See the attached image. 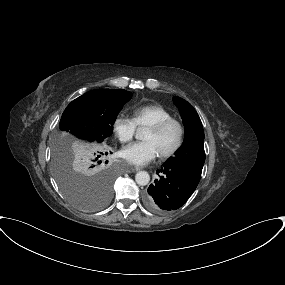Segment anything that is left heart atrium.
Wrapping results in <instances>:
<instances>
[{
	"mask_svg": "<svg viewBox=\"0 0 285 285\" xmlns=\"http://www.w3.org/2000/svg\"><path fill=\"white\" fill-rule=\"evenodd\" d=\"M159 155L157 148L151 141H141L124 147L120 156L136 166H144Z\"/></svg>",
	"mask_w": 285,
	"mask_h": 285,
	"instance_id": "1",
	"label": "left heart atrium"
}]
</instances>
